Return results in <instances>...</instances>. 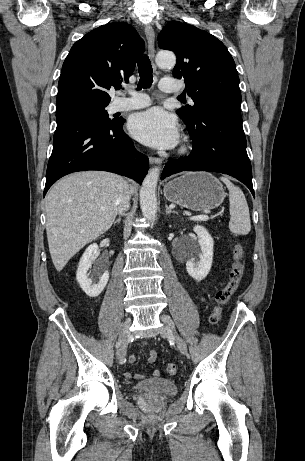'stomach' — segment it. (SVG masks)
I'll return each mask as SVG.
<instances>
[{"instance_id": "obj_1", "label": "stomach", "mask_w": 305, "mask_h": 461, "mask_svg": "<svg viewBox=\"0 0 305 461\" xmlns=\"http://www.w3.org/2000/svg\"><path fill=\"white\" fill-rule=\"evenodd\" d=\"M165 198L194 211L217 208L225 198L222 184L207 172H187L164 186Z\"/></svg>"}]
</instances>
